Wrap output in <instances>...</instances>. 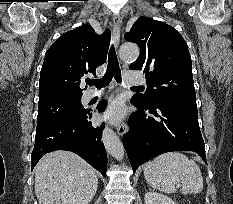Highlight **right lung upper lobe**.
Segmentation results:
<instances>
[{
  "label": "right lung upper lobe",
  "instance_id": "right-lung-upper-lobe-1",
  "mask_svg": "<svg viewBox=\"0 0 233 204\" xmlns=\"http://www.w3.org/2000/svg\"><path fill=\"white\" fill-rule=\"evenodd\" d=\"M110 31L98 35L83 24L62 34L46 51L41 68L39 102L66 96H82L84 74L93 73L107 56Z\"/></svg>",
  "mask_w": 233,
  "mask_h": 204
}]
</instances>
